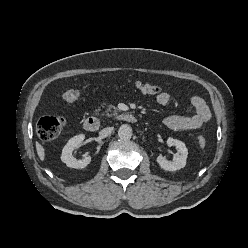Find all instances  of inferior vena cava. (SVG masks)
Segmentation results:
<instances>
[{"label": "inferior vena cava", "mask_w": 248, "mask_h": 248, "mask_svg": "<svg viewBox=\"0 0 248 248\" xmlns=\"http://www.w3.org/2000/svg\"><path fill=\"white\" fill-rule=\"evenodd\" d=\"M113 131V127H107V128H104L102 129L100 132H99V136L101 138H106L107 136H109Z\"/></svg>", "instance_id": "602c4592"}]
</instances>
